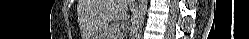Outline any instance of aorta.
Returning <instances> with one entry per match:
<instances>
[{"label": "aorta", "instance_id": "762f6f07", "mask_svg": "<svg viewBox=\"0 0 249 39\" xmlns=\"http://www.w3.org/2000/svg\"><path fill=\"white\" fill-rule=\"evenodd\" d=\"M148 0H140L139 5V14H138V20H137V30L134 33V37H140L141 35V29L142 25L144 23L145 13L147 10Z\"/></svg>", "mask_w": 249, "mask_h": 39}]
</instances>
